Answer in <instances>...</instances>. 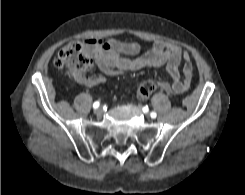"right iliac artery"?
I'll return each instance as SVG.
<instances>
[{
    "instance_id": "right-iliac-artery-1",
    "label": "right iliac artery",
    "mask_w": 245,
    "mask_h": 195,
    "mask_svg": "<svg viewBox=\"0 0 245 195\" xmlns=\"http://www.w3.org/2000/svg\"><path fill=\"white\" fill-rule=\"evenodd\" d=\"M100 103L98 101L94 102L93 108L97 109L99 107Z\"/></svg>"
}]
</instances>
